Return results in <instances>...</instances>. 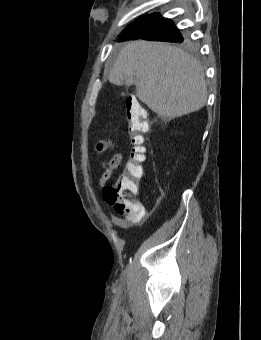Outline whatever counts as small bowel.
<instances>
[{"instance_id":"1","label":"small bowel","mask_w":261,"mask_h":340,"mask_svg":"<svg viewBox=\"0 0 261 340\" xmlns=\"http://www.w3.org/2000/svg\"><path fill=\"white\" fill-rule=\"evenodd\" d=\"M109 147V142L106 139L100 140L96 143L94 152L95 153H102L106 151ZM123 159L122 154L115 153L111 159L110 162L104 171V173L101 175L99 179V186L101 188H104L106 183L112 178L113 174L121 164ZM145 216V210L143 214L139 216H131V215H125L124 217H117V216H111L112 223L124 230H127L134 226L135 224L139 223L143 217Z\"/></svg>"}]
</instances>
